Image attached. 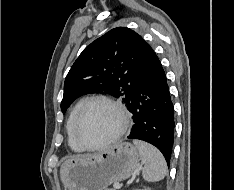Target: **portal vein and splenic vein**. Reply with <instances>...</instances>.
<instances>
[{
  "mask_svg": "<svg viewBox=\"0 0 234 190\" xmlns=\"http://www.w3.org/2000/svg\"><path fill=\"white\" fill-rule=\"evenodd\" d=\"M113 187H114L115 189H120V188H121V186H120L119 183H114V184H113Z\"/></svg>",
  "mask_w": 234,
  "mask_h": 190,
  "instance_id": "18ae733b",
  "label": "portal vein and splenic vein"
}]
</instances>
